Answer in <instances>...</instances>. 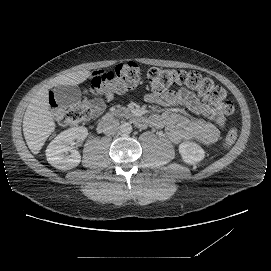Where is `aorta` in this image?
Here are the masks:
<instances>
[{"instance_id": "aorta-1", "label": "aorta", "mask_w": 271, "mask_h": 271, "mask_svg": "<svg viewBox=\"0 0 271 271\" xmlns=\"http://www.w3.org/2000/svg\"><path fill=\"white\" fill-rule=\"evenodd\" d=\"M119 130L123 135L130 134L132 132V125L128 122H124L120 125Z\"/></svg>"}]
</instances>
